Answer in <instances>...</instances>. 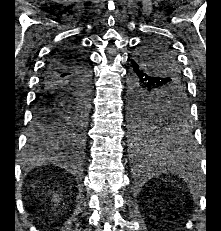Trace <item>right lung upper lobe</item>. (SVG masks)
Masks as SVG:
<instances>
[{"label":"right lung upper lobe","instance_id":"obj_1","mask_svg":"<svg viewBox=\"0 0 221 231\" xmlns=\"http://www.w3.org/2000/svg\"><path fill=\"white\" fill-rule=\"evenodd\" d=\"M65 52H67V53L72 52V51H71V48H66Z\"/></svg>","mask_w":221,"mask_h":231}]
</instances>
